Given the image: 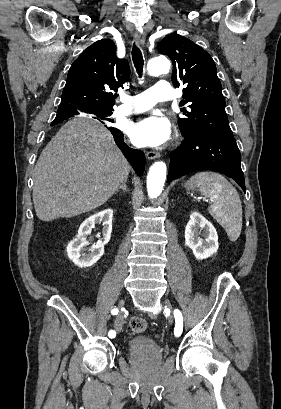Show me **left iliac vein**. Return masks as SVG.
I'll return each instance as SVG.
<instances>
[{
  "label": "left iliac vein",
  "instance_id": "1",
  "mask_svg": "<svg viewBox=\"0 0 281 409\" xmlns=\"http://www.w3.org/2000/svg\"><path fill=\"white\" fill-rule=\"evenodd\" d=\"M163 304H164L165 310L169 313V322L172 323V322H173V315L170 314V311H171V309H172V305H171L170 302L167 301V300H165V301L163 302Z\"/></svg>",
  "mask_w": 281,
  "mask_h": 409
}]
</instances>
